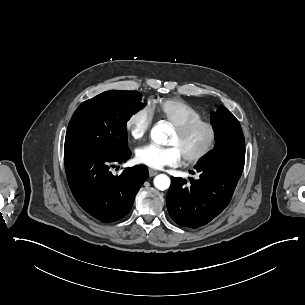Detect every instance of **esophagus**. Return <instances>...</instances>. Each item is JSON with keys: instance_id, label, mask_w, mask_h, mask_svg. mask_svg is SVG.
I'll return each mask as SVG.
<instances>
[{"instance_id": "1", "label": "esophagus", "mask_w": 305, "mask_h": 305, "mask_svg": "<svg viewBox=\"0 0 305 305\" xmlns=\"http://www.w3.org/2000/svg\"><path fill=\"white\" fill-rule=\"evenodd\" d=\"M157 174H158L157 171H155V170H153V169H149V176H150V177H153V176H155V175H157Z\"/></svg>"}]
</instances>
